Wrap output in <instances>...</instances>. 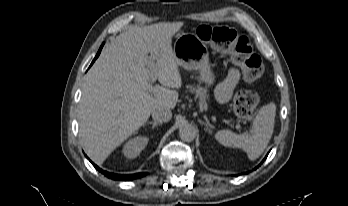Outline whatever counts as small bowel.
<instances>
[{
    "mask_svg": "<svg viewBox=\"0 0 348 206\" xmlns=\"http://www.w3.org/2000/svg\"><path fill=\"white\" fill-rule=\"evenodd\" d=\"M240 81V73L236 68L229 69L225 79L217 86L216 97L220 103L228 102Z\"/></svg>",
    "mask_w": 348,
    "mask_h": 206,
    "instance_id": "1",
    "label": "small bowel"
}]
</instances>
